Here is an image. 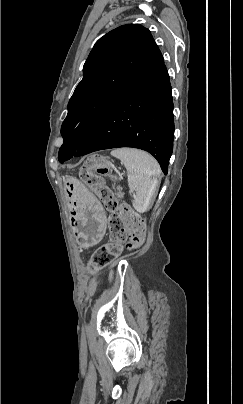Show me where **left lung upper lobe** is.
Segmentation results:
<instances>
[{
  "label": "left lung upper lobe",
  "instance_id": "5c2ea615",
  "mask_svg": "<svg viewBox=\"0 0 243 404\" xmlns=\"http://www.w3.org/2000/svg\"><path fill=\"white\" fill-rule=\"evenodd\" d=\"M163 65L150 31L141 25H122L101 37L69 101L58 160H69L103 114Z\"/></svg>",
  "mask_w": 243,
  "mask_h": 404
}]
</instances>
